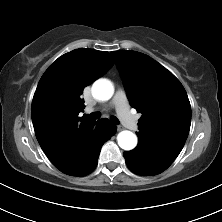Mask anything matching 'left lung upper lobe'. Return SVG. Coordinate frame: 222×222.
Returning a JSON list of instances; mask_svg holds the SVG:
<instances>
[{
  "mask_svg": "<svg viewBox=\"0 0 222 222\" xmlns=\"http://www.w3.org/2000/svg\"><path fill=\"white\" fill-rule=\"evenodd\" d=\"M111 54L130 104L142 114L139 142L151 144L175 160L191 124V106L184 87L170 71L143 53L121 50Z\"/></svg>",
  "mask_w": 222,
  "mask_h": 222,
  "instance_id": "left-lung-upper-lobe-1",
  "label": "left lung upper lobe"
}]
</instances>
